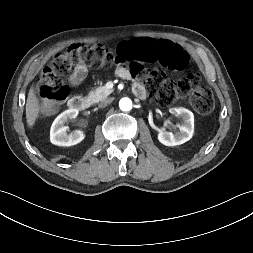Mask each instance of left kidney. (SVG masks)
<instances>
[{"label":"left kidney","mask_w":253,"mask_h":253,"mask_svg":"<svg viewBox=\"0 0 253 253\" xmlns=\"http://www.w3.org/2000/svg\"><path fill=\"white\" fill-rule=\"evenodd\" d=\"M169 112L179 117L182 120V124L179 126V132L173 134L163 129L159 130L158 140L165 146H176L181 145L189 141L194 132V115L186 108H170Z\"/></svg>","instance_id":"left-kidney-1"}]
</instances>
